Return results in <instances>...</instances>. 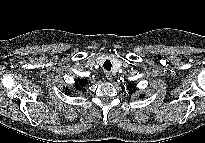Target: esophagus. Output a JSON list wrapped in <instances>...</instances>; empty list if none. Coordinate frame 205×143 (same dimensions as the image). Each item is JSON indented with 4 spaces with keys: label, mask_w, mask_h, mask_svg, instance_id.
Here are the masks:
<instances>
[{
    "label": "esophagus",
    "mask_w": 205,
    "mask_h": 143,
    "mask_svg": "<svg viewBox=\"0 0 205 143\" xmlns=\"http://www.w3.org/2000/svg\"><path fill=\"white\" fill-rule=\"evenodd\" d=\"M106 78H107L108 81H112L113 80V77H112L110 72L106 73Z\"/></svg>",
    "instance_id": "esophagus-1"
}]
</instances>
